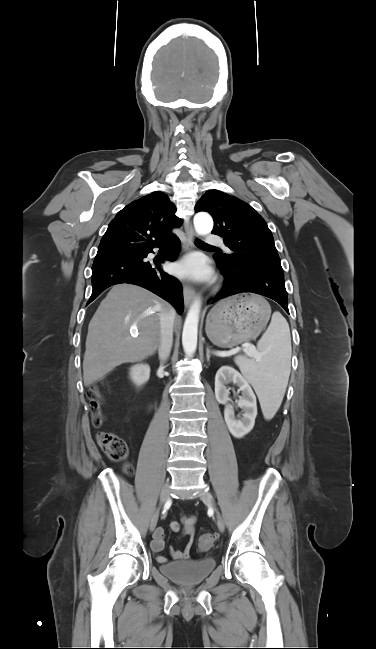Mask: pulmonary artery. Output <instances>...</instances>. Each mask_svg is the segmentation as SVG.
Wrapping results in <instances>:
<instances>
[{
  "mask_svg": "<svg viewBox=\"0 0 376 649\" xmlns=\"http://www.w3.org/2000/svg\"><path fill=\"white\" fill-rule=\"evenodd\" d=\"M205 242L211 246H224L222 238L216 235H208Z\"/></svg>",
  "mask_w": 376,
  "mask_h": 649,
  "instance_id": "pulmonary-artery-1",
  "label": "pulmonary artery"
}]
</instances>
